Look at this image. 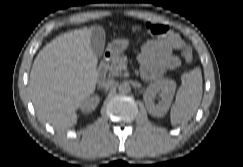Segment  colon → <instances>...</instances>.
<instances>
[{
  "instance_id": "colon-1",
  "label": "colon",
  "mask_w": 243,
  "mask_h": 167,
  "mask_svg": "<svg viewBox=\"0 0 243 167\" xmlns=\"http://www.w3.org/2000/svg\"><path fill=\"white\" fill-rule=\"evenodd\" d=\"M168 27L162 22H148L143 26L133 27V31L138 34L145 35H162L166 33ZM182 55L187 64H191L193 61L192 52L188 45L184 44L182 46Z\"/></svg>"
}]
</instances>
